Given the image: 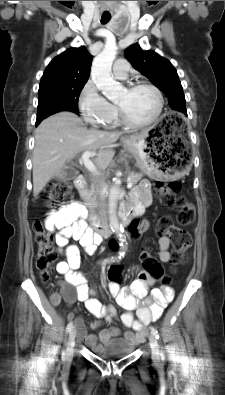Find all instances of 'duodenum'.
I'll use <instances>...</instances> for the list:
<instances>
[{"label": "duodenum", "instance_id": "410a0bca", "mask_svg": "<svg viewBox=\"0 0 225 395\" xmlns=\"http://www.w3.org/2000/svg\"><path fill=\"white\" fill-rule=\"evenodd\" d=\"M86 181L83 175H79L75 179V186L78 190H84ZM133 215H136V210L131 208H123L119 212V219L123 224H128L131 221ZM93 228L98 237H107L111 234L108 225L100 218H93L92 220Z\"/></svg>", "mask_w": 225, "mask_h": 395}]
</instances>
